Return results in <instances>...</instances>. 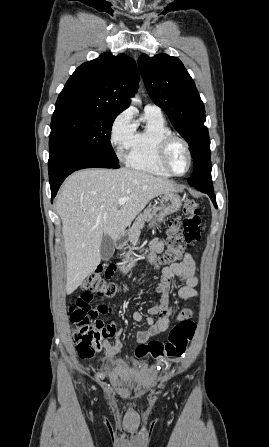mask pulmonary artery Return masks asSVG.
<instances>
[{
  "mask_svg": "<svg viewBox=\"0 0 269 447\" xmlns=\"http://www.w3.org/2000/svg\"><path fill=\"white\" fill-rule=\"evenodd\" d=\"M145 110L149 111V112H154V113H156L158 115H162L161 108L159 106H156V105L148 104V105H146Z\"/></svg>",
  "mask_w": 269,
  "mask_h": 447,
  "instance_id": "obj_1",
  "label": "pulmonary artery"
}]
</instances>
